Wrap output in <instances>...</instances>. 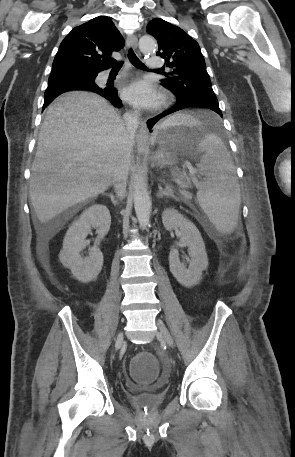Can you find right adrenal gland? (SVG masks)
<instances>
[{
	"instance_id": "2a0ac1e0",
	"label": "right adrenal gland",
	"mask_w": 295,
	"mask_h": 457,
	"mask_svg": "<svg viewBox=\"0 0 295 457\" xmlns=\"http://www.w3.org/2000/svg\"><path fill=\"white\" fill-rule=\"evenodd\" d=\"M105 195L108 196L111 199L112 204L114 206H116L118 204V201L115 199V197H114V195L112 193H108V194H105Z\"/></svg>"
}]
</instances>
